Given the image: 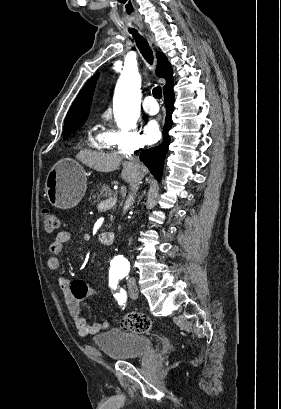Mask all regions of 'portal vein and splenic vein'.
Returning <instances> with one entry per match:
<instances>
[{
  "mask_svg": "<svg viewBox=\"0 0 281 409\" xmlns=\"http://www.w3.org/2000/svg\"><path fill=\"white\" fill-rule=\"evenodd\" d=\"M116 201V198L114 196H108L107 200H99L98 204L96 205V208L99 210L100 213H105L107 207L113 206Z\"/></svg>",
  "mask_w": 281,
  "mask_h": 409,
  "instance_id": "18ae733b",
  "label": "portal vein and splenic vein"
}]
</instances>
